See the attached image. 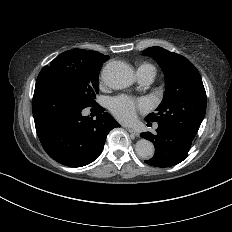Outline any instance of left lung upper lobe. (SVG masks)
Segmentation results:
<instances>
[{
	"label": "left lung upper lobe",
	"mask_w": 232,
	"mask_h": 232,
	"mask_svg": "<svg viewBox=\"0 0 232 232\" xmlns=\"http://www.w3.org/2000/svg\"><path fill=\"white\" fill-rule=\"evenodd\" d=\"M143 54L161 66L166 84L157 113L145 120L174 127L194 139L206 112V92L198 70L184 56L162 47L147 48Z\"/></svg>",
	"instance_id": "obj_1"
}]
</instances>
